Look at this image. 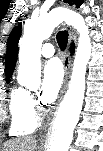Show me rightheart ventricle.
I'll return each instance as SVG.
<instances>
[{
    "label": "right heart ventricle",
    "mask_w": 103,
    "mask_h": 151,
    "mask_svg": "<svg viewBox=\"0 0 103 151\" xmlns=\"http://www.w3.org/2000/svg\"><path fill=\"white\" fill-rule=\"evenodd\" d=\"M29 92L21 87H13L10 93L11 136L33 133L37 127V117L29 101Z\"/></svg>",
    "instance_id": "1"
}]
</instances>
